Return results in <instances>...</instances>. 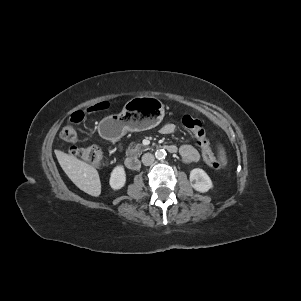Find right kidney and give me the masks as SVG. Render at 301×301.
Here are the masks:
<instances>
[{
    "instance_id": "obj_1",
    "label": "right kidney",
    "mask_w": 301,
    "mask_h": 301,
    "mask_svg": "<svg viewBox=\"0 0 301 301\" xmlns=\"http://www.w3.org/2000/svg\"><path fill=\"white\" fill-rule=\"evenodd\" d=\"M126 183V173L123 166H116L110 176L109 184L113 190H119Z\"/></svg>"
}]
</instances>
